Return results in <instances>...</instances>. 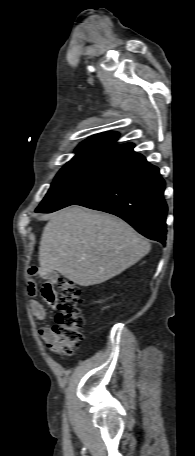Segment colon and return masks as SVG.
<instances>
[{
    "instance_id": "1",
    "label": "colon",
    "mask_w": 195,
    "mask_h": 456,
    "mask_svg": "<svg viewBox=\"0 0 195 456\" xmlns=\"http://www.w3.org/2000/svg\"><path fill=\"white\" fill-rule=\"evenodd\" d=\"M82 303L80 288L72 281L61 279L58 282L56 325L53 327L57 340L48 346L62 356H71L82 340Z\"/></svg>"
}]
</instances>
